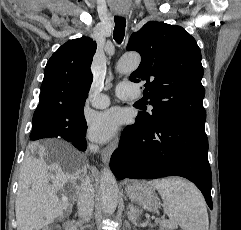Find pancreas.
I'll use <instances>...</instances> for the list:
<instances>
[{"instance_id":"obj_1","label":"pancreas","mask_w":241,"mask_h":230,"mask_svg":"<svg viewBox=\"0 0 241 230\" xmlns=\"http://www.w3.org/2000/svg\"><path fill=\"white\" fill-rule=\"evenodd\" d=\"M175 223L173 222V221H165V222H163V223H161V227H163V228H173V227H175Z\"/></svg>"}]
</instances>
